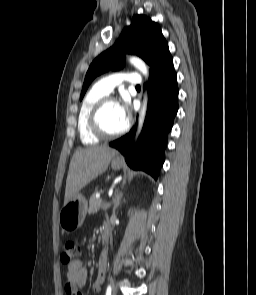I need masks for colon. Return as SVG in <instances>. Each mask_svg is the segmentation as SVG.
<instances>
[{
	"label": "colon",
	"mask_w": 256,
	"mask_h": 295,
	"mask_svg": "<svg viewBox=\"0 0 256 295\" xmlns=\"http://www.w3.org/2000/svg\"><path fill=\"white\" fill-rule=\"evenodd\" d=\"M80 254V248L78 244L71 239L65 240L62 245L61 261L65 265L71 264L77 260Z\"/></svg>",
	"instance_id": "obj_1"
}]
</instances>
